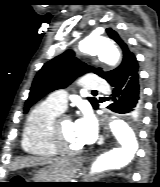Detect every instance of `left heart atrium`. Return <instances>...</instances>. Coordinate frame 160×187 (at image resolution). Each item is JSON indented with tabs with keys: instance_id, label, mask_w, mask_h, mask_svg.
I'll return each instance as SVG.
<instances>
[{
	"instance_id": "39dd6f15",
	"label": "left heart atrium",
	"mask_w": 160,
	"mask_h": 187,
	"mask_svg": "<svg viewBox=\"0 0 160 187\" xmlns=\"http://www.w3.org/2000/svg\"><path fill=\"white\" fill-rule=\"evenodd\" d=\"M73 124L78 140L82 145L94 142L97 135V126L89 113H84Z\"/></svg>"
}]
</instances>
